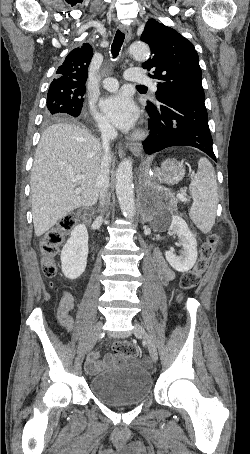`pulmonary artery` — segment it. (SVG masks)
I'll list each match as a JSON object with an SVG mask.
<instances>
[{"label": "pulmonary artery", "mask_w": 250, "mask_h": 454, "mask_svg": "<svg viewBox=\"0 0 250 454\" xmlns=\"http://www.w3.org/2000/svg\"><path fill=\"white\" fill-rule=\"evenodd\" d=\"M124 78L127 81H133V82H138L142 84H147L151 86V89L153 91L157 90L156 84L152 79H150L143 71L136 69V68H130L128 69L125 74ZM119 81L116 78L113 77H108L104 79L103 81V87L108 90V91H115L119 88Z\"/></svg>", "instance_id": "pulmonary-artery-1"}]
</instances>
